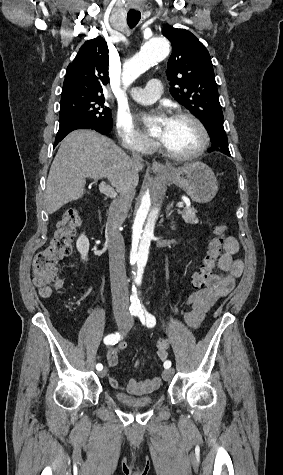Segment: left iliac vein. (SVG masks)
Segmentation results:
<instances>
[{"label": "left iliac vein", "instance_id": "left-iliac-vein-1", "mask_svg": "<svg viewBox=\"0 0 283 475\" xmlns=\"http://www.w3.org/2000/svg\"><path fill=\"white\" fill-rule=\"evenodd\" d=\"M132 325H133V321L131 320L130 323H128L127 325V329H129ZM173 374H174L173 369H165L162 372V378L164 381H168L172 378Z\"/></svg>", "mask_w": 283, "mask_h": 475}]
</instances>
